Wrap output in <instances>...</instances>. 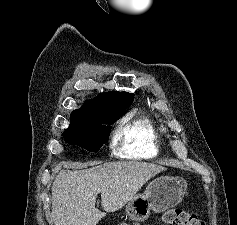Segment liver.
<instances>
[{
	"mask_svg": "<svg viewBox=\"0 0 237 225\" xmlns=\"http://www.w3.org/2000/svg\"><path fill=\"white\" fill-rule=\"evenodd\" d=\"M163 166L145 162H108L83 170H62L52 184L55 225H96L106 213L127 204ZM101 194L104 212L95 207Z\"/></svg>",
	"mask_w": 237,
	"mask_h": 225,
	"instance_id": "liver-1",
	"label": "liver"
}]
</instances>
